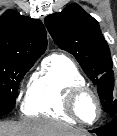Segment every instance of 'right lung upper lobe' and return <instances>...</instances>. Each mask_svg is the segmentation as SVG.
I'll return each mask as SVG.
<instances>
[{"mask_svg":"<svg viewBox=\"0 0 117 136\" xmlns=\"http://www.w3.org/2000/svg\"><path fill=\"white\" fill-rule=\"evenodd\" d=\"M46 47V30L40 20L13 10L0 17V58L36 60Z\"/></svg>","mask_w":117,"mask_h":136,"instance_id":"obj_1","label":"right lung upper lobe"}]
</instances>
